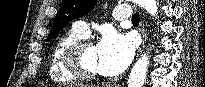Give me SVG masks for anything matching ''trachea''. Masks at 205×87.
<instances>
[{
  "label": "trachea",
  "instance_id": "3493384b",
  "mask_svg": "<svg viewBox=\"0 0 205 87\" xmlns=\"http://www.w3.org/2000/svg\"><path fill=\"white\" fill-rule=\"evenodd\" d=\"M140 21V16L139 13L136 12L133 16H132V22H138Z\"/></svg>",
  "mask_w": 205,
  "mask_h": 87
}]
</instances>
